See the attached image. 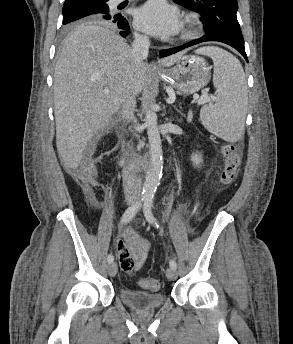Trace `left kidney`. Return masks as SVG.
Wrapping results in <instances>:
<instances>
[{
    "label": "left kidney",
    "instance_id": "obj_1",
    "mask_svg": "<svg viewBox=\"0 0 293 344\" xmlns=\"http://www.w3.org/2000/svg\"><path fill=\"white\" fill-rule=\"evenodd\" d=\"M191 161L193 163L194 166L196 167H200V164L202 163V156L201 154H198V153H193L191 155Z\"/></svg>",
    "mask_w": 293,
    "mask_h": 344
}]
</instances>
